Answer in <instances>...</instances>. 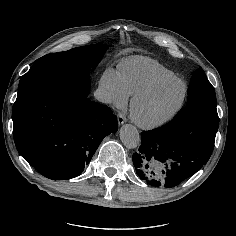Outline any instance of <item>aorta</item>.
<instances>
[{
	"label": "aorta",
	"mask_w": 236,
	"mask_h": 236,
	"mask_svg": "<svg viewBox=\"0 0 236 236\" xmlns=\"http://www.w3.org/2000/svg\"><path fill=\"white\" fill-rule=\"evenodd\" d=\"M120 139L128 149H135L140 144V135L137 128L131 124H125L120 129Z\"/></svg>",
	"instance_id": "1"
}]
</instances>
